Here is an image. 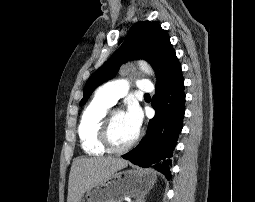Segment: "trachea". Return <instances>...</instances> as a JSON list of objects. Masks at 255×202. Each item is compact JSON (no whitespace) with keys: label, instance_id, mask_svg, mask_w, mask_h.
Segmentation results:
<instances>
[{"label":"trachea","instance_id":"obj_1","mask_svg":"<svg viewBox=\"0 0 255 202\" xmlns=\"http://www.w3.org/2000/svg\"><path fill=\"white\" fill-rule=\"evenodd\" d=\"M145 96H146V97H150V95H149V94H145Z\"/></svg>","mask_w":255,"mask_h":202}]
</instances>
